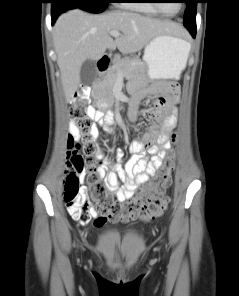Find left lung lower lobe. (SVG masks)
<instances>
[{
	"label": "left lung lower lobe",
	"instance_id": "0a47b994",
	"mask_svg": "<svg viewBox=\"0 0 239 296\" xmlns=\"http://www.w3.org/2000/svg\"><path fill=\"white\" fill-rule=\"evenodd\" d=\"M185 27L189 30V32L191 33L193 38H195V36H196V24H190V25H187Z\"/></svg>",
	"mask_w": 239,
	"mask_h": 296
}]
</instances>
